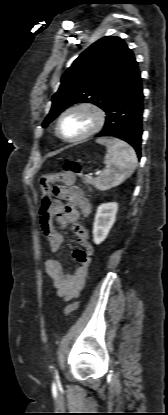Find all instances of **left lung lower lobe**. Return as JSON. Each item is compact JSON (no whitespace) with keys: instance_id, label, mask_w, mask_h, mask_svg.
Instances as JSON below:
<instances>
[{"instance_id":"obj_1","label":"left lung lower lobe","mask_w":168,"mask_h":415,"mask_svg":"<svg viewBox=\"0 0 168 415\" xmlns=\"http://www.w3.org/2000/svg\"><path fill=\"white\" fill-rule=\"evenodd\" d=\"M143 98L141 76L137 67L106 107V122L103 130L96 137L120 138L129 143L140 158Z\"/></svg>"}]
</instances>
